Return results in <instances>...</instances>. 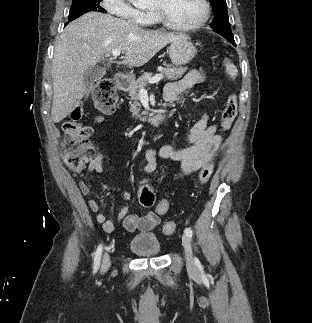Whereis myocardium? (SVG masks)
<instances>
[{"label": "myocardium", "instance_id": "1", "mask_svg": "<svg viewBox=\"0 0 312 323\" xmlns=\"http://www.w3.org/2000/svg\"><path fill=\"white\" fill-rule=\"evenodd\" d=\"M197 2L202 10L199 18H194V20H171L165 8H156L155 13L159 25H168L169 31H200L203 23L210 19L212 5L209 0H197Z\"/></svg>", "mask_w": 312, "mask_h": 323}]
</instances>
